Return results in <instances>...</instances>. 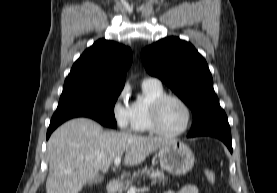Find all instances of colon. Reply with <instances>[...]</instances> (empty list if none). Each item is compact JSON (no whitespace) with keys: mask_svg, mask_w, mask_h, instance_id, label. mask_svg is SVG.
Segmentation results:
<instances>
[{"mask_svg":"<svg viewBox=\"0 0 277 193\" xmlns=\"http://www.w3.org/2000/svg\"><path fill=\"white\" fill-rule=\"evenodd\" d=\"M205 178L211 185L215 184L217 181L216 173L213 170H205Z\"/></svg>","mask_w":277,"mask_h":193,"instance_id":"5ec220e1","label":"colon"}]
</instances>
